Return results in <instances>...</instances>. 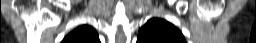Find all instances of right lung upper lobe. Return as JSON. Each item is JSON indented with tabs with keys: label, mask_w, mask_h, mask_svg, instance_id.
<instances>
[{
	"label": "right lung upper lobe",
	"mask_w": 256,
	"mask_h": 43,
	"mask_svg": "<svg viewBox=\"0 0 256 43\" xmlns=\"http://www.w3.org/2000/svg\"><path fill=\"white\" fill-rule=\"evenodd\" d=\"M62 43H100L97 32L88 25H82L69 33Z\"/></svg>",
	"instance_id": "obj_1"
}]
</instances>
